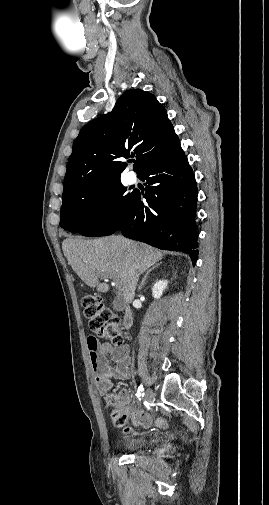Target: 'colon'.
<instances>
[{
    "label": "colon",
    "mask_w": 269,
    "mask_h": 505,
    "mask_svg": "<svg viewBox=\"0 0 269 505\" xmlns=\"http://www.w3.org/2000/svg\"><path fill=\"white\" fill-rule=\"evenodd\" d=\"M82 306L89 328L98 338L108 339L116 346L122 345L121 320L110 309L104 306L99 296L95 294L85 295L82 298ZM113 421L116 426L121 427L125 423V415L114 411Z\"/></svg>",
    "instance_id": "1"
}]
</instances>
